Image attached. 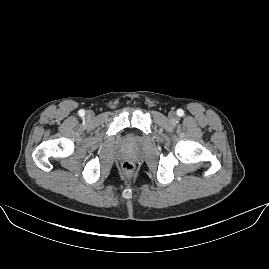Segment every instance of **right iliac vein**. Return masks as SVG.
Segmentation results:
<instances>
[{
	"instance_id": "obj_1",
	"label": "right iliac vein",
	"mask_w": 269,
	"mask_h": 269,
	"mask_svg": "<svg viewBox=\"0 0 269 269\" xmlns=\"http://www.w3.org/2000/svg\"><path fill=\"white\" fill-rule=\"evenodd\" d=\"M94 115H95L94 112H92V111H90V110L86 112V117H87L88 119H92V118L94 117Z\"/></svg>"
}]
</instances>
